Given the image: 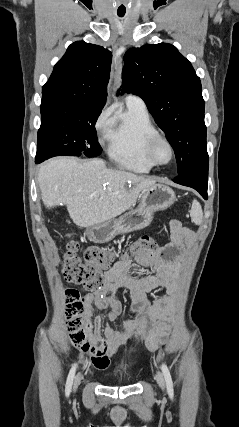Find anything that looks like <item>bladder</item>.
Returning <instances> with one entry per match:
<instances>
[{"mask_svg": "<svg viewBox=\"0 0 239 427\" xmlns=\"http://www.w3.org/2000/svg\"><path fill=\"white\" fill-rule=\"evenodd\" d=\"M115 378L117 381L122 382L126 379V373L121 371L115 375Z\"/></svg>", "mask_w": 239, "mask_h": 427, "instance_id": "obj_1", "label": "bladder"}]
</instances>
